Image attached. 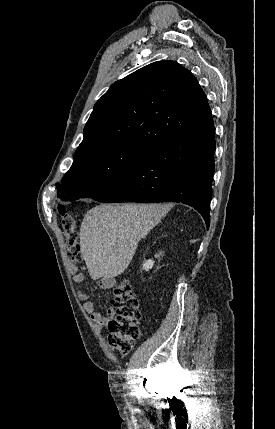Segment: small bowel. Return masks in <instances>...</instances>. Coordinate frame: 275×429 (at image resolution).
<instances>
[{"instance_id": "1", "label": "small bowel", "mask_w": 275, "mask_h": 429, "mask_svg": "<svg viewBox=\"0 0 275 429\" xmlns=\"http://www.w3.org/2000/svg\"><path fill=\"white\" fill-rule=\"evenodd\" d=\"M72 273L74 282L79 285L82 284L84 281V275L82 273L77 272L76 268H72ZM97 283L102 290L107 291L110 289V283L104 279H99ZM81 298L84 300L83 308L85 312L90 315L91 320L96 325L106 326L115 316L116 311L113 307H109L106 315H102L99 311L96 310L94 302L88 300V296L85 293L81 294Z\"/></svg>"}]
</instances>
